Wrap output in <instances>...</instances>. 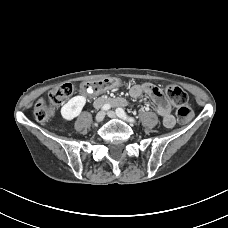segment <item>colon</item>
<instances>
[{
  "label": "colon",
  "instance_id": "obj_1",
  "mask_svg": "<svg viewBox=\"0 0 228 228\" xmlns=\"http://www.w3.org/2000/svg\"><path fill=\"white\" fill-rule=\"evenodd\" d=\"M75 85L71 82H65L54 87L49 93V102L45 99H39L34 106V115L37 121L41 123L48 122L54 114V106L66 102L74 93ZM166 94L170 102L177 106V118L181 123L189 122L194 112L188 104V95L180 87L169 85L166 88Z\"/></svg>",
  "mask_w": 228,
  "mask_h": 228
}]
</instances>
